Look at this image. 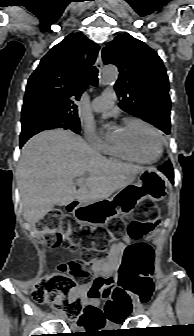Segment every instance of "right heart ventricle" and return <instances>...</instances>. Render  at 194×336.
<instances>
[{
  "label": "right heart ventricle",
  "instance_id": "e07e8e85",
  "mask_svg": "<svg viewBox=\"0 0 194 336\" xmlns=\"http://www.w3.org/2000/svg\"><path fill=\"white\" fill-rule=\"evenodd\" d=\"M105 154L119 160H132L124 155L115 144H109L107 151Z\"/></svg>",
  "mask_w": 194,
  "mask_h": 336
}]
</instances>
